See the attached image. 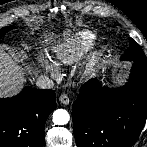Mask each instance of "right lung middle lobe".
<instances>
[{"mask_svg": "<svg viewBox=\"0 0 147 147\" xmlns=\"http://www.w3.org/2000/svg\"><path fill=\"white\" fill-rule=\"evenodd\" d=\"M13 28V26H8V27H4L2 29H0V37L2 35H4L5 33H7L8 31H10Z\"/></svg>", "mask_w": 147, "mask_h": 147, "instance_id": "right-lung-middle-lobe-1", "label": "right lung middle lobe"}]
</instances>
